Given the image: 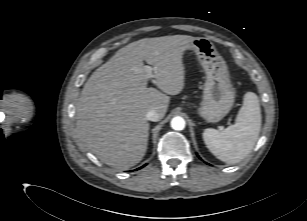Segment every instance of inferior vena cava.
<instances>
[{
    "mask_svg": "<svg viewBox=\"0 0 307 221\" xmlns=\"http://www.w3.org/2000/svg\"><path fill=\"white\" fill-rule=\"evenodd\" d=\"M146 119L156 122L161 119V116L155 109H151L146 113Z\"/></svg>",
    "mask_w": 307,
    "mask_h": 221,
    "instance_id": "602c4592",
    "label": "inferior vena cava"
}]
</instances>
